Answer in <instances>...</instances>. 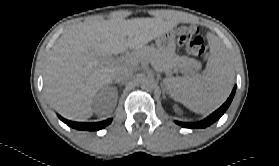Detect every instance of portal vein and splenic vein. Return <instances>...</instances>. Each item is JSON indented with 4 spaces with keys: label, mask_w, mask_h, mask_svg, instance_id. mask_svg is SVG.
Returning <instances> with one entry per match:
<instances>
[{
    "label": "portal vein and splenic vein",
    "mask_w": 279,
    "mask_h": 166,
    "mask_svg": "<svg viewBox=\"0 0 279 166\" xmlns=\"http://www.w3.org/2000/svg\"><path fill=\"white\" fill-rule=\"evenodd\" d=\"M124 61L125 62L131 61V57L130 56H126V57H121V58H118V59H114V58H112L110 56L105 57V62L106 63L114 64V63H122Z\"/></svg>",
    "instance_id": "portal-vein-and-splenic-vein-1"
}]
</instances>
